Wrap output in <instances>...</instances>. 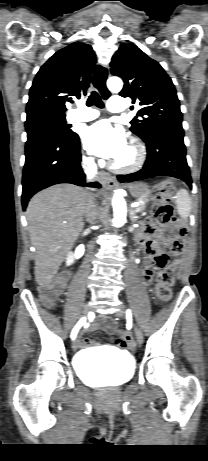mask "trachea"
<instances>
[{
	"label": "trachea",
	"instance_id": "trachea-1",
	"mask_svg": "<svg viewBox=\"0 0 208 461\" xmlns=\"http://www.w3.org/2000/svg\"><path fill=\"white\" fill-rule=\"evenodd\" d=\"M106 75H107L106 69L99 65L93 77V84L100 91L104 99H107L109 97V93L105 88ZM86 105L87 106L95 105L99 108L104 107V104L101 101V98L96 91H93L91 93V95L89 96L86 102Z\"/></svg>",
	"mask_w": 208,
	"mask_h": 461
}]
</instances>
